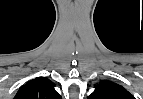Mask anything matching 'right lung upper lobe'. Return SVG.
<instances>
[{
    "instance_id": "right-lung-upper-lobe-1",
    "label": "right lung upper lobe",
    "mask_w": 143,
    "mask_h": 99,
    "mask_svg": "<svg viewBox=\"0 0 143 99\" xmlns=\"http://www.w3.org/2000/svg\"><path fill=\"white\" fill-rule=\"evenodd\" d=\"M14 99H61V96L55 91L52 81L37 77L23 85Z\"/></svg>"
}]
</instances>
